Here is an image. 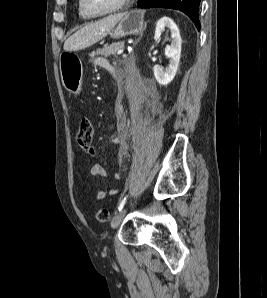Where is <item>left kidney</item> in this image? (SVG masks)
Instances as JSON below:
<instances>
[{
  "label": "left kidney",
  "instance_id": "1",
  "mask_svg": "<svg viewBox=\"0 0 267 298\" xmlns=\"http://www.w3.org/2000/svg\"><path fill=\"white\" fill-rule=\"evenodd\" d=\"M168 29L171 33V44L166 46L165 55L169 58V65L165 69L162 66L156 65L154 67V76L160 85H168L173 81L180 62L182 39L180 31L174 21L169 17L161 18L155 29L154 39H160L162 32Z\"/></svg>",
  "mask_w": 267,
  "mask_h": 298
}]
</instances>
